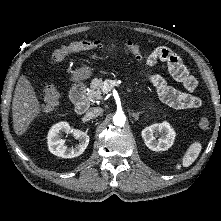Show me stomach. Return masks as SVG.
<instances>
[{
	"label": "stomach",
	"mask_w": 221,
	"mask_h": 221,
	"mask_svg": "<svg viewBox=\"0 0 221 221\" xmlns=\"http://www.w3.org/2000/svg\"><path fill=\"white\" fill-rule=\"evenodd\" d=\"M112 48H108V51H111ZM92 74V68L89 66H83L80 69L77 70V72L74 74V80L79 81V80H84L87 79L91 76Z\"/></svg>",
	"instance_id": "0dacf381"
}]
</instances>
